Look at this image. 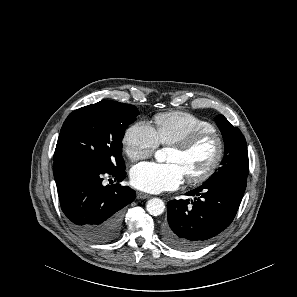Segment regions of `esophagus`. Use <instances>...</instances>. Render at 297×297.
Instances as JSON below:
<instances>
[{"mask_svg":"<svg viewBox=\"0 0 297 297\" xmlns=\"http://www.w3.org/2000/svg\"><path fill=\"white\" fill-rule=\"evenodd\" d=\"M137 199H148L151 197L150 194L143 193V192H137Z\"/></svg>","mask_w":297,"mask_h":297,"instance_id":"34e87169","label":"esophagus"}]
</instances>
